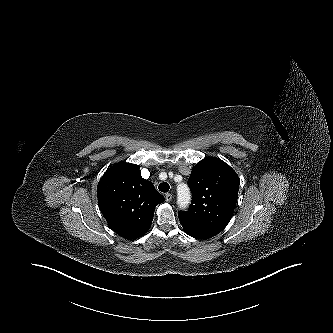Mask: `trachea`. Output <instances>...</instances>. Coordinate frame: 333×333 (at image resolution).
<instances>
[{
	"label": "trachea",
	"instance_id": "3493384b",
	"mask_svg": "<svg viewBox=\"0 0 333 333\" xmlns=\"http://www.w3.org/2000/svg\"><path fill=\"white\" fill-rule=\"evenodd\" d=\"M158 189H159V191L166 193L169 191L170 186L168 183L162 182L159 184Z\"/></svg>",
	"mask_w": 333,
	"mask_h": 333
}]
</instances>
